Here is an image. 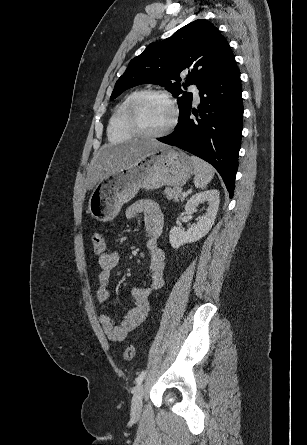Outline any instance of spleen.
<instances>
[{
  "mask_svg": "<svg viewBox=\"0 0 307 445\" xmlns=\"http://www.w3.org/2000/svg\"><path fill=\"white\" fill-rule=\"evenodd\" d=\"M191 160L193 162V172L194 176V184L196 188H203L206 186L210 180H212L215 174V168L202 160V158H198V156H191Z\"/></svg>",
  "mask_w": 307,
  "mask_h": 445,
  "instance_id": "3e777b00",
  "label": "spleen"
}]
</instances>
